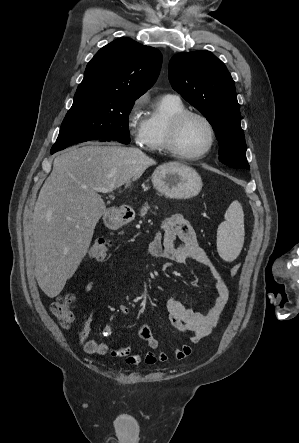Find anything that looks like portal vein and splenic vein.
<instances>
[{
  "label": "portal vein and splenic vein",
  "instance_id": "18ae733b",
  "mask_svg": "<svg viewBox=\"0 0 299 443\" xmlns=\"http://www.w3.org/2000/svg\"><path fill=\"white\" fill-rule=\"evenodd\" d=\"M94 189L102 193H110L113 191V189H106V188H94Z\"/></svg>",
  "mask_w": 299,
  "mask_h": 443
}]
</instances>
